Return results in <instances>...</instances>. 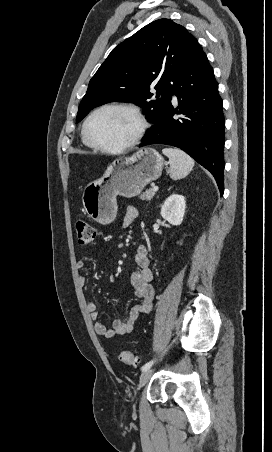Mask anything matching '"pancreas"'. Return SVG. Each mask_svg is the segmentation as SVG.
<instances>
[{"mask_svg": "<svg viewBox=\"0 0 272 452\" xmlns=\"http://www.w3.org/2000/svg\"><path fill=\"white\" fill-rule=\"evenodd\" d=\"M155 195L153 189H148L140 195L141 200L150 201Z\"/></svg>", "mask_w": 272, "mask_h": 452, "instance_id": "pancreas-1", "label": "pancreas"}]
</instances>
